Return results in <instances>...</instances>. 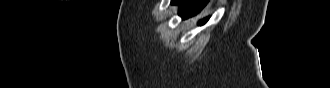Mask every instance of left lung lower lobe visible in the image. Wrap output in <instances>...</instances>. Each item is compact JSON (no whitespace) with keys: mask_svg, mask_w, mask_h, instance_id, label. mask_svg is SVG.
<instances>
[{"mask_svg":"<svg viewBox=\"0 0 330 88\" xmlns=\"http://www.w3.org/2000/svg\"><path fill=\"white\" fill-rule=\"evenodd\" d=\"M201 1L203 3L202 7L197 10L196 4ZM208 0H171V4L179 5V15L184 19L196 15L201 9L206 5ZM209 17L200 21V24H204L208 21Z\"/></svg>","mask_w":330,"mask_h":88,"instance_id":"0a47b994","label":"left lung lower lobe"}]
</instances>
